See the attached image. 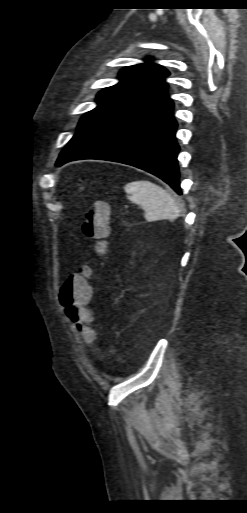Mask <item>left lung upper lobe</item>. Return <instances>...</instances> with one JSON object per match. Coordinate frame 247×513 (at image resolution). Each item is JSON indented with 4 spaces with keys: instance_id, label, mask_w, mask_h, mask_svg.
I'll return each mask as SVG.
<instances>
[{
    "instance_id": "obj_1",
    "label": "left lung upper lobe",
    "mask_w": 247,
    "mask_h": 513,
    "mask_svg": "<svg viewBox=\"0 0 247 513\" xmlns=\"http://www.w3.org/2000/svg\"><path fill=\"white\" fill-rule=\"evenodd\" d=\"M120 82L97 95V107L86 113L78 129L155 90L165 83L169 72L153 62L126 67L120 71Z\"/></svg>"
}]
</instances>
